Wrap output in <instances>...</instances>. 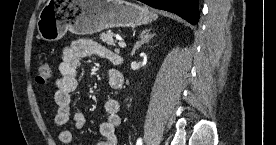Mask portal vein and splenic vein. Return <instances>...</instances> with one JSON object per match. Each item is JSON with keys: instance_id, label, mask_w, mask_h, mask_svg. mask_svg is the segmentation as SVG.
<instances>
[{"instance_id": "obj_1", "label": "portal vein and splenic vein", "mask_w": 276, "mask_h": 145, "mask_svg": "<svg viewBox=\"0 0 276 145\" xmlns=\"http://www.w3.org/2000/svg\"><path fill=\"white\" fill-rule=\"evenodd\" d=\"M118 45H119V47H121V48H125V47H126V43L123 42V41H119V42H118Z\"/></svg>"}]
</instances>
